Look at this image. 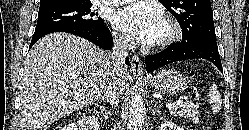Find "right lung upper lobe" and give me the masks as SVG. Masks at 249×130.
<instances>
[{
	"mask_svg": "<svg viewBox=\"0 0 249 130\" xmlns=\"http://www.w3.org/2000/svg\"><path fill=\"white\" fill-rule=\"evenodd\" d=\"M77 0H40V7L65 4Z\"/></svg>",
	"mask_w": 249,
	"mask_h": 130,
	"instance_id": "obj_1",
	"label": "right lung upper lobe"
}]
</instances>
